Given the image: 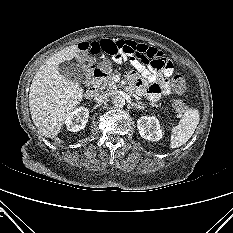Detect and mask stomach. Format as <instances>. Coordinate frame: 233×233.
Listing matches in <instances>:
<instances>
[{
    "label": "stomach",
    "instance_id": "stomach-1",
    "mask_svg": "<svg viewBox=\"0 0 233 233\" xmlns=\"http://www.w3.org/2000/svg\"><path fill=\"white\" fill-rule=\"evenodd\" d=\"M99 69L104 73H110L112 71V64L109 61H103L99 65Z\"/></svg>",
    "mask_w": 233,
    "mask_h": 233
}]
</instances>
